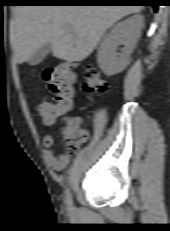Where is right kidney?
Returning a JSON list of instances; mask_svg holds the SVG:
<instances>
[{
  "label": "right kidney",
  "mask_w": 170,
  "mask_h": 231,
  "mask_svg": "<svg viewBox=\"0 0 170 231\" xmlns=\"http://www.w3.org/2000/svg\"><path fill=\"white\" fill-rule=\"evenodd\" d=\"M143 25V16L134 15L116 24L104 37L98 50L97 60L107 76L115 75L127 66ZM120 45L124 47L117 52Z\"/></svg>",
  "instance_id": "right-kidney-1"
}]
</instances>
